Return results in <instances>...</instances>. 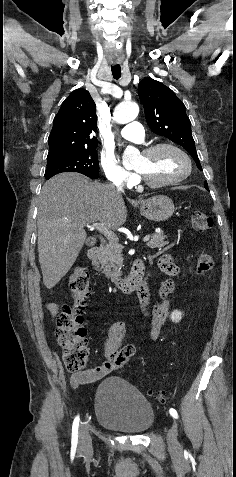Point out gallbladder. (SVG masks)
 <instances>
[{
  "label": "gallbladder",
  "instance_id": "1",
  "mask_svg": "<svg viewBox=\"0 0 236 477\" xmlns=\"http://www.w3.org/2000/svg\"><path fill=\"white\" fill-rule=\"evenodd\" d=\"M93 244H94V240H92V239H90V238L87 239V241H86V245H87V246H92Z\"/></svg>",
  "mask_w": 236,
  "mask_h": 477
}]
</instances>
